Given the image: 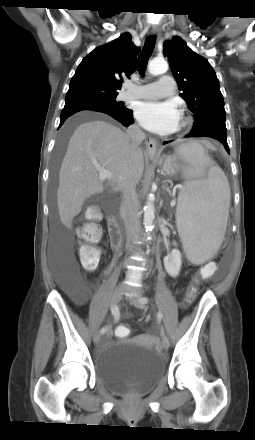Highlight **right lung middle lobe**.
Wrapping results in <instances>:
<instances>
[{
  "instance_id": "obj_1",
  "label": "right lung middle lobe",
  "mask_w": 255,
  "mask_h": 440,
  "mask_svg": "<svg viewBox=\"0 0 255 440\" xmlns=\"http://www.w3.org/2000/svg\"><path fill=\"white\" fill-rule=\"evenodd\" d=\"M117 94H104V93H93L85 96L82 100H90V101H96L105 103L107 105L113 106L115 108L121 109L123 106H121L120 102H116ZM68 132L65 131L62 134V138L60 141V148L65 143L66 137Z\"/></svg>"
}]
</instances>
